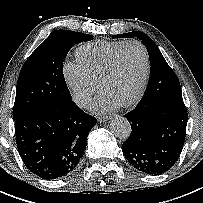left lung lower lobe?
I'll return each mask as SVG.
<instances>
[{
	"label": "left lung lower lobe",
	"mask_w": 203,
	"mask_h": 203,
	"mask_svg": "<svg viewBox=\"0 0 203 203\" xmlns=\"http://www.w3.org/2000/svg\"><path fill=\"white\" fill-rule=\"evenodd\" d=\"M124 116L132 127L129 138L122 144L126 159L146 174L168 171L183 149L188 121L185 104L136 106Z\"/></svg>",
	"instance_id": "1"
}]
</instances>
